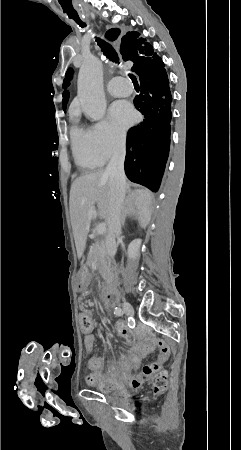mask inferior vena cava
I'll list each match as a JSON object with an SVG mask.
<instances>
[{
    "label": "inferior vena cava",
    "mask_w": 241,
    "mask_h": 450,
    "mask_svg": "<svg viewBox=\"0 0 241 450\" xmlns=\"http://www.w3.org/2000/svg\"><path fill=\"white\" fill-rule=\"evenodd\" d=\"M126 134L122 136V142L114 152L105 174L109 176L110 196H111V220L108 226V232L105 240L106 252L110 258L116 254V238L121 236V224L125 218L124 200H125V172L124 160L126 156Z\"/></svg>",
    "instance_id": "1"
}]
</instances>
